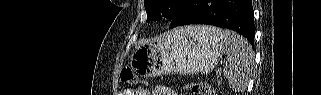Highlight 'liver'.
Instances as JSON below:
<instances>
[{"label": "liver", "instance_id": "liver-1", "mask_svg": "<svg viewBox=\"0 0 321 95\" xmlns=\"http://www.w3.org/2000/svg\"><path fill=\"white\" fill-rule=\"evenodd\" d=\"M188 28L191 29V30H194V31H199V30H200L199 27H193V26H191V27H188Z\"/></svg>", "mask_w": 321, "mask_h": 95}]
</instances>
